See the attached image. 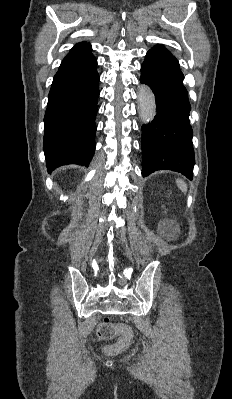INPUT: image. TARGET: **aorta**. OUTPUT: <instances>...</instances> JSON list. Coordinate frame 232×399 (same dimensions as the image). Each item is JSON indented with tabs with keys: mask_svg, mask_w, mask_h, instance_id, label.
Wrapping results in <instances>:
<instances>
[{
	"mask_svg": "<svg viewBox=\"0 0 232 399\" xmlns=\"http://www.w3.org/2000/svg\"><path fill=\"white\" fill-rule=\"evenodd\" d=\"M138 101L140 118L144 123L148 124L153 120L156 114L155 97L152 90L148 86H141L138 94Z\"/></svg>",
	"mask_w": 232,
	"mask_h": 399,
	"instance_id": "obj_1",
	"label": "aorta"
}]
</instances>
